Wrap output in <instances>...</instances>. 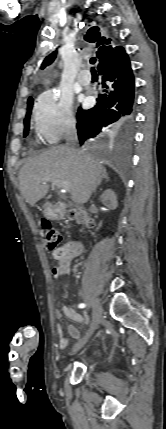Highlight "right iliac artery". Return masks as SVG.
I'll use <instances>...</instances> for the list:
<instances>
[{
	"mask_svg": "<svg viewBox=\"0 0 166 429\" xmlns=\"http://www.w3.org/2000/svg\"><path fill=\"white\" fill-rule=\"evenodd\" d=\"M85 306H86V305H85L84 303H81V304H79V306H78V307H79V308H85Z\"/></svg>",
	"mask_w": 166,
	"mask_h": 429,
	"instance_id": "obj_1",
	"label": "right iliac artery"
}]
</instances>
